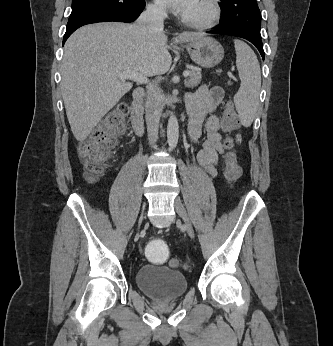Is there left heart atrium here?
I'll use <instances>...</instances> for the list:
<instances>
[{"label":"left heart atrium","instance_id":"39dd6f15","mask_svg":"<svg viewBox=\"0 0 333 346\" xmlns=\"http://www.w3.org/2000/svg\"><path fill=\"white\" fill-rule=\"evenodd\" d=\"M162 6L178 14H185L193 0H158Z\"/></svg>","mask_w":333,"mask_h":346}]
</instances>
